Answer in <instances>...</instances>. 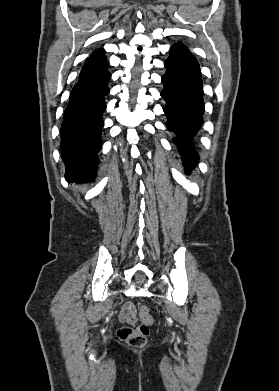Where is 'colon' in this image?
Returning <instances> with one entry per match:
<instances>
[{
    "label": "colon",
    "instance_id": "1",
    "mask_svg": "<svg viewBox=\"0 0 279 391\" xmlns=\"http://www.w3.org/2000/svg\"><path fill=\"white\" fill-rule=\"evenodd\" d=\"M142 324L133 328L123 326L117 331L118 338L134 347H143L147 342V337L150 333L149 326L153 323V317L149 313L146 306H142L140 310Z\"/></svg>",
    "mask_w": 279,
    "mask_h": 391
}]
</instances>
